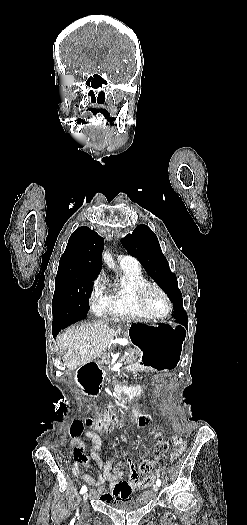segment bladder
<instances>
[{
  "instance_id": "1",
  "label": "bladder",
  "mask_w": 247,
  "mask_h": 525,
  "mask_svg": "<svg viewBox=\"0 0 247 525\" xmlns=\"http://www.w3.org/2000/svg\"><path fill=\"white\" fill-rule=\"evenodd\" d=\"M144 498L145 494H140L136 498L115 501L111 504V508L116 509L120 512H132L134 510L145 507Z\"/></svg>"
}]
</instances>
